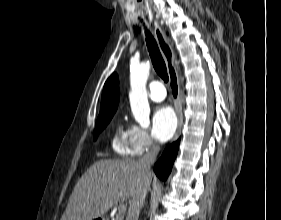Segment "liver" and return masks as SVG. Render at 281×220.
<instances>
[{"label": "liver", "mask_w": 281, "mask_h": 220, "mask_svg": "<svg viewBox=\"0 0 281 220\" xmlns=\"http://www.w3.org/2000/svg\"><path fill=\"white\" fill-rule=\"evenodd\" d=\"M143 178V171L135 160L96 161L76 183L61 220L102 217L118 202L130 199Z\"/></svg>", "instance_id": "6515ba94"}]
</instances>
